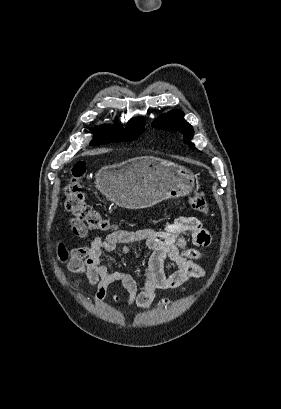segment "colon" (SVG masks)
Instances as JSON below:
<instances>
[{"label":"colon","instance_id":"obj_1","mask_svg":"<svg viewBox=\"0 0 281 409\" xmlns=\"http://www.w3.org/2000/svg\"><path fill=\"white\" fill-rule=\"evenodd\" d=\"M86 173V163L83 161L76 162L69 171V180L65 185V208L74 217V228L81 232L83 227L87 229L109 234L118 229V226L108 216L99 210L89 206L85 201V194L81 184ZM191 208L199 213L206 214L208 205L202 194L195 192L190 199Z\"/></svg>","mask_w":281,"mask_h":409}]
</instances>
